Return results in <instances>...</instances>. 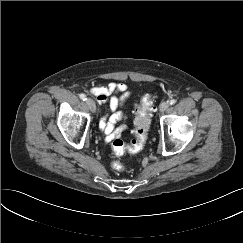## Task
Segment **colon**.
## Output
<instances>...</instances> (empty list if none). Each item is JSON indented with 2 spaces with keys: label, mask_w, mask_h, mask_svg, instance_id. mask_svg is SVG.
Returning <instances> with one entry per match:
<instances>
[{
  "label": "colon",
  "mask_w": 243,
  "mask_h": 243,
  "mask_svg": "<svg viewBox=\"0 0 243 243\" xmlns=\"http://www.w3.org/2000/svg\"><path fill=\"white\" fill-rule=\"evenodd\" d=\"M153 108L151 96L148 94L145 95L136 108L133 140L130 142V144H125L119 138L114 139L112 142V152L114 155L122 156L126 152L137 153L143 148L147 140L151 112L153 111ZM112 168L116 171H122L124 170V165L120 161L114 160L112 162Z\"/></svg>",
  "instance_id": "1"
}]
</instances>
